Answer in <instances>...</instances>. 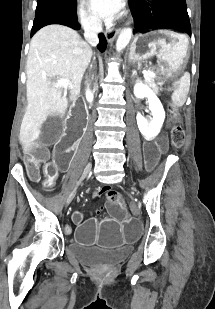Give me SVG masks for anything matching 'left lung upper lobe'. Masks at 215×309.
I'll return each instance as SVG.
<instances>
[{"label": "left lung upper lobe", "instance_id": "5c2ea615", "mask_svg": "<svg viewBox=\"0 0 215 309\" xmlns=\"http://www.w3.org/2000/svg\"><path fill=\"white\" fill-rule=\"evenodd\" d=\"M135 31L146 29H180L191 36L185 0H129Z\"/></svg>", "mask_w": 215, "mask_h": 309}]
</instances>
